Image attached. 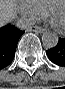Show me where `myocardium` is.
<instances>
[{"label": "myocardium", "instance_id": "f54148a6", "mask_svg": "<svg viewBox=\"0 0 65 89\" xmlns=\"http://www.w3.org/2000/svg\"><path fill=\"white\" fill-rule=\"evenodd\" d=\"M58 5H63L65 7V3L62 1V0H57V1H54V2H51L47 8H46V14L51 18V14H52V10L57 7ZM57 30L59 32H62L65 30V28H60V27H57Z\"/></svg>", "mask_w": 65, "mask_h": 89}]
</instances>
